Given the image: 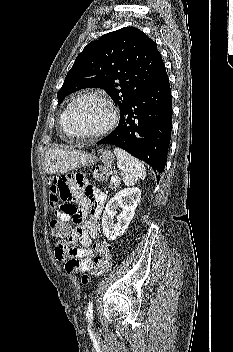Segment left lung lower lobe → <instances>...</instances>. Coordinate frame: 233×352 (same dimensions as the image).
Returning a JSON list of instances; mask_svg holds the SVG:
<instances>
[{
  "label": "left lung lower lobe",
  "instance_id": "0a47b994",
  "mask_svg": "<svg viewBox=\"0 0 233 352\" xmlns=\"http://www.w3.org/2000/svg\"><path fill=\"white\" fill-rule=\"evenodd\" d=\"M120 112L117 128L97 144L116 145L162 173L172 127V98L167 72Z\"/></svg>",
  "mask_w": 233,
  "mask_h": 352
}]
</instances>
